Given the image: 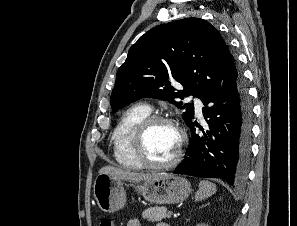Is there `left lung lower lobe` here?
Returning a JSON list of instances; mask_svg holds the SVG:
<instances>
[{
  "label": "left lung lower lobe",
  "instance_id": "obj_1",
  "mask_svg": "<svg viewBox=\"0 0 297 226\" xmlns=\"http://www.w3.org/2000/svg\"><path fill=\"white\" fill-rule=\"evenodd\" d=\"M199 98L205 105L203 129L191 121L186 159L173 171L196 177L220 178L242 185L250 160L252 106L242 77L231 88L210 87ZM198 127L202 133H196Z\"/></svg>",
  "mask_w": 297,
  "mask_h": 226
}]
</instances>
